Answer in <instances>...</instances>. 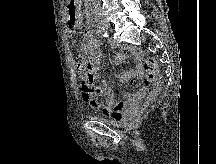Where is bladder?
<instances>
[{
  "label": "bladder",
  "instance_id": "obj_1",
  "mask_svg": "<svg viewBox=\"0 0 216 164\" xmlns=\"http://www.w3.org/2000/svg\"><path fill=\"white\" fill-rule=\"evenodd\" d=\"M97 120L105 123V124H109V125H113V126H119L124 124V121H118V120H107V119H102V118H97Z\"/></svg>",
  "mask_w": 216,
  "mask_h": 164
}]
</instances>
